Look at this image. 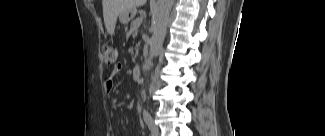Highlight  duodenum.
I'll return each mask as SVG.
<instances>
[{
	"label": "duodenum",
	"mask_w": 325,
	"mask_h": 136,
	"mask_svg": "<svg viewBox=\"0 0 325 136\" xmlns=\"http://www.w3.org/2000/svg\"><path fill=\"white\" fill-rule=\"evenodd\" d=\"M140 73H141V66L140 65H135L132 68V75H133V77L134 78H139Z\"/></svg>",
	"instance_id": "obj_1"
}]
</instances>
